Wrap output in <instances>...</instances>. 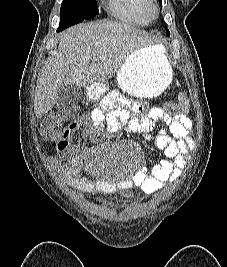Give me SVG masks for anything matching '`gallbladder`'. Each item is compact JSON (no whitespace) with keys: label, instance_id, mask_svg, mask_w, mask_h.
I'll list each match as a JSON object with an SVG mask.
<instances>
[{"label":"gallbladder","instance_id":"bac80fb5","mask_svg":"<svg viewBox=\"0 0 227 267\" xmlns=\"http://www.w3.org/2000/svg\"><path fill=\"white\" fill-rule=\"evenodd\" d=\"M82 89L76 85H67L60 90L56 108L65 114L75 108L82 98Z\"/></svg>","mask_w":227,"mask_h":267}]
</instances>
